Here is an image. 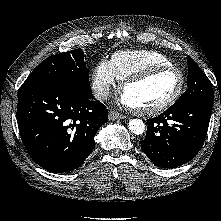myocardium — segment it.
<instances>
[{"label": "myocardium", "mask_w": 221, "mask_h": 221, "mask_svg": "<svg viewBox=\"0 0 221 221\" xmlns=\"http://www.w3.org/2000/svg\"><path fill=\"white\" fill-rule=\"evenodd\" d=\"M166 71H175L179 74L180 82L179 86L176 90V92L168 98L166 101L157 104L152 107H147V108H136L131 105H127L133 112L140 114V115H147V114H155L161 111H164L171 107L173 104H175L178 99L181 97L183 94L185 84H186V77L184 72L177 66L174 65H163V66H154L150 67L148 69L142 70L138 73H135L127 78H125L121 84H120V94L123 96V93L125 89L133 84L142 82L158 73L166 72Z\"/></svg>", "instance_id": "f54148a6"}]
</instances>
